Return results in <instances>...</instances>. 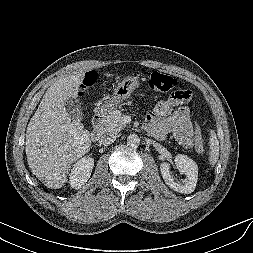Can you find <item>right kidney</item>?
Masks as SVG:
<instances>
[{
    "instance_id": "obj_1",
    "label": "right kidney",
    "mask_w": 253,
    "mask_h": 253,
    "mask_svg": "<svg viewBox=\"0 0 253 253\" xmlns=\"http://www.w3.org/2000/svg\"><path fill=\"white\" fill-rule=\"evenodd\" d=\"M94 166V159L91 157H84L77 161L71 169L69 183L72 188L80 189L91 176Z\"/></svg>"
}]
</instances>
